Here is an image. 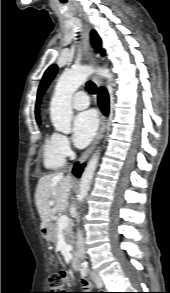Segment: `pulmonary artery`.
<instances>
[{"label":"pulmonary artery","mask_w":170,"mask_h":293,"mask_svg":"<svg viewBox=\"0 0 170 293\" xmlns=\"http://www.w3.org/2000/svg\"><path fill=\"white\" fill-rule=\"evenodd\" d=\"M90 102L85 92H76L72 99V106L75 109L82 110L89 106Z\"/></svg>","instance_id":"obj_1"}]
</instances>
